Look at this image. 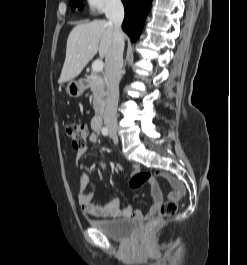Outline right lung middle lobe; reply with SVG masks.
Masks as SVG:
<instances>
[{
    "label": "right lung middle lobe",
    "instance_id": "obj_1",
    "mask_svg": "<svg viewBox=\"0 0 247 265\" xmlns=\"http://www.w3.org/2000/svg\"><path fill=\"white\" fill-rule=\"evenodd\" d=\"M83 0H70V7L74 11L77 6H80V8H83Z\"/></svg>",
    "mask_w": 247,
    "mask_h": 265
}]
</instances>
